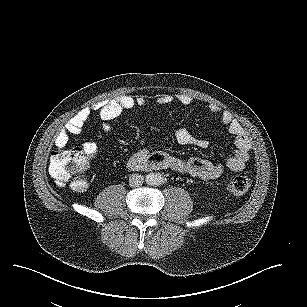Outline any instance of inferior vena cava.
Returning <instances> with one entry per match:
<instances>
[{"label": "inferior vena cava", "instance_id": "602c4592", "mask_svg": "<svg viewBox=\"0 0 307 307\" xmlns=\"http://www.w3.org/2000/svg\"><path fill=\"white\" fill-rule=\"evenodd\" d=\"M144 183V176L138 173L131 174L129 176V185L133 188L142 186Z\"/></svg>", "mask_w": 307, "mask_h": 307}]
</instances>
